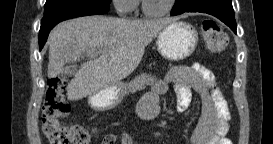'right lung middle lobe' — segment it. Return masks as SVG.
I'll return each instance as SVG.
<instances>
[{"label": "right lung middle lobe", "instance_id": "dd1d6c3e", "mask_svg": "<svg viewBox=\"0 0 273 144\" xmlns=\"http://www.w3.org/2000/svg\"><path fill=\"white\" fill-rule=\"evenodd\" d=\"M66 1H98V2L108 3V4L111 2V0H46V3L44 5V11L56 3L66 2Z\"/></svg>", "mask_w": 273, "mask_h": 144}]
</instances>
